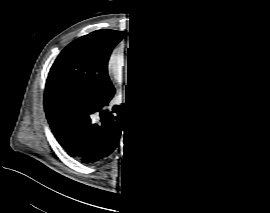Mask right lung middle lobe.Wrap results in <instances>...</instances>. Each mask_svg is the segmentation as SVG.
I'll list each match as a JSON object with an SVG mask.
<instances>
[{"mask_svg": "<svg viewBox=\"0 0 270 213\" xmlns=\"http://www.w3.org/2000/svg\"><path fill=\"white\" fill-rule=\"evenodd\" d=\"M126 36L125 32L103 29L69 44L52 65L46 90L82 88L99 94L112 92L115 88L108 76V60Z\"/></svg>", "mask_w": 270, "mask_h": 213, "instance_id": "dd1d6c3e", "label": "right lung middle lobe"}]
</instances>
